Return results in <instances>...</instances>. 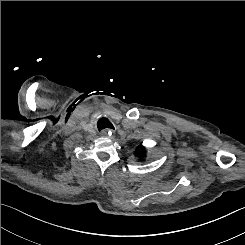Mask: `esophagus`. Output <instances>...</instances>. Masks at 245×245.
<instances>
[{
	"mask_svg": "<svg viewBox=\"0 0 245 245\" xmlns=\"http://www.w3.org/2000/svg\"><path fill=\"white\" fill-rule=\"evenodd\" d=\"M114 130L113 129H105L101 132L102 136H107L108 134L112 133Z\"/></svg>",
	"mask_w": 245,
	"mask_h": 245,
	"instance_id": "34e87169",
	"label": "esophagus"
}]
</instances>
